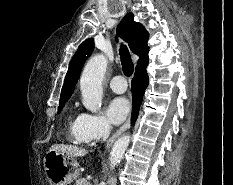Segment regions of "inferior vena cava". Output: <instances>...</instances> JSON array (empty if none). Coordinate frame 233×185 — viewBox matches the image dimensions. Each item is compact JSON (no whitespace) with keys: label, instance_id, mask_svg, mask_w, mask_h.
<instances>
[{"label":"inferior vena cava","instance_id":"1","mask_svg":"<svg viewBox=\"0 0 233 185\" xmlns=\"http://www.w3.org/2000/svg\"><path fill=\"white\" fill-rule=\"evenodd\" d=\"M110 131H111V126L109 123H106L103 128V136H102L104 141L109 137ZM100 185H104V184H100Z\"/></svg>","mask_w":233,"mask_h":185}]
</instances>
